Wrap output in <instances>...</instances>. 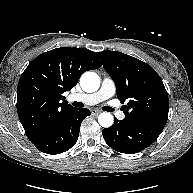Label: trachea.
Instances as JSON below:
<instances>
[{
  "instance_id": "1",
  "label": "trachea",
  "mask_w": 193,
  "mask_h": 193,
  "mask_svg": "<svg viewBox=\"0 0 193 193\" xmlns=\"http://www.w3.org/2000/svg\"><path fill=\"white\" fill-rule=\"evenodd\" d=\"M74 104V106H76V107H82V103L81 102H74L73 103ZM105 111H108V112H112L114 109L113 108H111V107H104L103 108Z\"/></svg>"
}]
</instances>
